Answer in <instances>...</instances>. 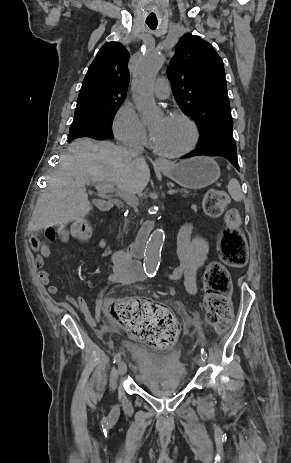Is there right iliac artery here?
<instances>
[{
	"label": "right iliac artery",
	"instance_id": "right-iliac-artery-1",
	"mask_svg": "<svg viewBox=\"0 0 291 463\" xmlns=\"http://www.w3.org/2000/svg\"><path fill=\"white\" fill-rule=\"evenodd\" d=\"M121 359V353H117L115 356H114V362L113 363H118ZM106 425V420H102V427Z\"/></svg>",
	"mask_w": 291,
	"mask_h": 463
}]
</instances>
